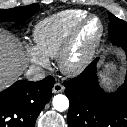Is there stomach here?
<instances>
[{"label": "stomach", "mask_w": 127, "mask_h": 127, "mask_svg": "<svg viewBox=\"0 0 127 127\" xmlns=\"http://www.w3.org/2000/svg\"><path fill=\"white\" fill-rule=\"evenodd\" d=\"M100 76L106 86H114L117 84L119 79V71L117 66L109 63L103 64L100 71Z\"/></svg>", "instance_id": "stomach-1"}]
</instances>
